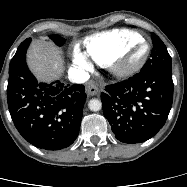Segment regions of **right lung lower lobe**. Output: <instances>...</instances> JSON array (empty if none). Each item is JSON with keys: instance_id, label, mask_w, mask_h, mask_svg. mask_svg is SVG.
<instances>
[{"instance_id": "1", "label": "right lung lower lobe", "mask_w": 187, "mask_h": 187, "mask_svg": "<svg viewBox=\"0 0 187 187\" xmlns=\"http://www.w3.org/2000/svg\"><path fill=\"white\" fill-rule=\"evenodd\" d=\"M30 42L31 39L24 40L10 62L9 112L15 127L29 143L45 150L63 149L79 134L87 97L84 85L38 82L26 64Z\"/></svg>"}]
</instances>
